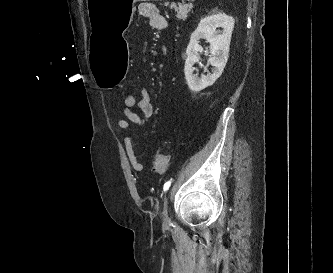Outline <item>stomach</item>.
<instances>
[{"label":"stomach","mask_w":333,"mask_h":273,"mask_svg":"<svg viewBox=\"0 0 333 273\" xmlns=\"http://www.w3.org/2000/svg\"><path fill=\"white\" fill-rule=\"evenodd\" d=\"M139 1L144 0H87L93 28L87 51L88 56H92L95 81L102 88L111 89L125 80L130 51L122 37L123 32H128L131 19H134L132 10Z\"/></svg>","instance_id":"1"}]
</instances>
